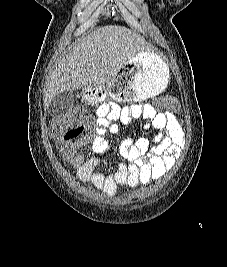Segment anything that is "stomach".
Listing matches in <instances>:
<instances>
[{
  "instance_id": "0dacf381",
  "label": "stomach",
  "mask_w": 227,
  "mask_h": 267,
  "mask_svg": "<svg viewBox=\"0 0 227 267\" xmlns=\"http://www.w3.org/2000/svg\"><path fill=\"white\" fill-rule=\"evenodd\" d=\"M169 68L157 54L143 51L129 60L107 87L92 85L84 93L86 103H116L146 101L160 94L169 81Z\"/></svg>"
}]
</instances>
